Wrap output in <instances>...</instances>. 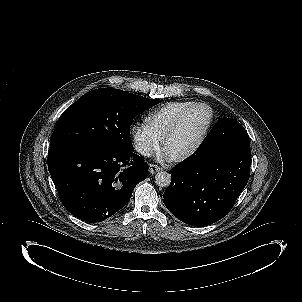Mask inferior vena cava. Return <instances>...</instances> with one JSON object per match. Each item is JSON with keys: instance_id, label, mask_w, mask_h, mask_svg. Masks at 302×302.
<instances>
[{"instance_id": "602c4592", "label": "inferior vena cava", "mask_w": 302, "mask_h": 302, "mask_svg": "<svg viewBox=\"0 0 302 302\" xmlns=\"http://www.w3.org/2000/svg\"><path fill=\"white\" fill-rule=\"evenodd\" d=\"M139 152H141V154H143L145 156H150L151 155V151H149L146 147H140Z\"/></svg>"}]
</instances>
